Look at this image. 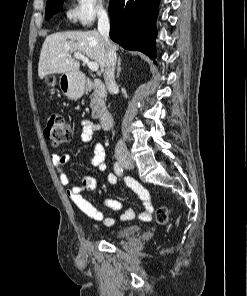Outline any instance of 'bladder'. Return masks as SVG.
I'll return each mask as SVG.
<instances>
[{
    "instance_id": "bladder-1",
    "label": "bladder",
    "mask_w": 247,
    "mask_h": 296,
    "mask_svg": "<svg viewBox=\"0 0 247 296\" xmlns=\"http://www.w3.org/2000/svg\"><path fill=\"white\" fill-rule=\"evenodd\" d=\"M139 230L137 225H129L118 229L114 233L116 239H122L134 235Z\"/></svg>"
}]
</instances>
